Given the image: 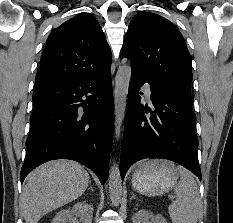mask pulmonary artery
<instances>
[{"label": "pulmonary artery", "mask_w": 233, "mask_h": 223, "mask_svg": "<svg viewBox=\"0 0 233 223\" xmlns=\"http://www.w3.org/2000/svg\"><path fill=\"white\" fill-rule=\"evenodd\" d=\"M143 90H144V93L146 94V96L148 98H150V96L152 94V90H151L150 84L148 82H145L143 84Z\"/></svg>", "instance_id": "obj_1"}]
</instances>
